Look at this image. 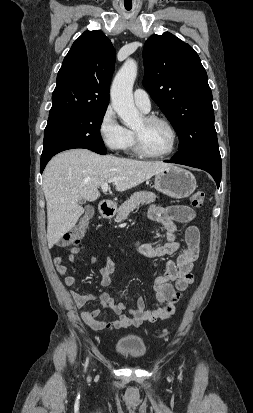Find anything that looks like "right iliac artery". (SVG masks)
Returning a JSON list of instances; mask_svg holds the SVG:
<instances>
[{"instance_id":"right-iliac-artery-1","label":"right iliac artery","mask_w":253,"mask_h":413,"mask_svg":"<svg viewBox=\"0 0 253 413\" xmlns=\"http://www.w3.org/2000/svg\"><path fill=\"white\" fill-rule=\"evenodd\" d=\"M87 365H88V359L86 360V363H85V368L87 367Z\"/></svg>"}]
</instances>
